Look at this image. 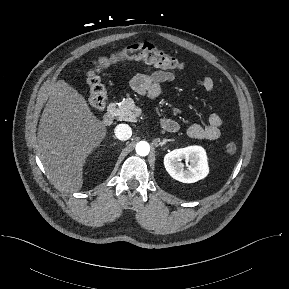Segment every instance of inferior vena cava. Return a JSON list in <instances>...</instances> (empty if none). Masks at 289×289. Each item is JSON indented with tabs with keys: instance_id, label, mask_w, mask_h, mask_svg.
<instances>
[{
	"instance_id": "1",
	"label": "inferior vena cava",
	"mask_w": 289,
	"mask_h": 289,
	"mask_svg": "<svg viewBox=\"0 0 289 289\" xmlns=\"http://www.w3.org/2000/svg\"><path fill=\"white\" fill-rule=\"evenodd\" d=\"M114 132L115 136L121 141L128 140L132 135V129L127 124L117 125Z\"/></svg>"
}]
</instances>
